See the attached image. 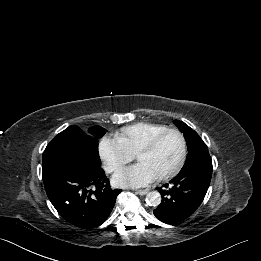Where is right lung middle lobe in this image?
I'll return each mask as SVG.
<instances>
[{"mask_svg": "<svg viewBox=\"0 0 261 261\" xmlns=\"http://www.w3.org/2000/svg\"><path fill=\"white\" fill-rule=\"evenodd\" d=\"M106 132V129L93 126L85 134L78 126H70L59 133L46 147L43 153V169L51 171L59 163L67 161L70 157V150L74 149L76 139L84 143L89 157L100 163L98 156V139Z\"/></svg>", "mask_w": 261, "mask_h": 261, "instance_id": "dd1d6c3e", "label": "right lung middle lobe"}]
</instances>
